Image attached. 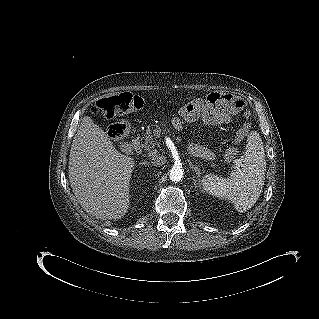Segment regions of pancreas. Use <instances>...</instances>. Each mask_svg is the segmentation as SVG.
Listing matches in <instances>:
<instances>
[{"instance_id": "1", "label": "pancreas", "mask_w": 319, "mask_h": 319, "mask_svg": "<svg viewBox=\"0 0 319 319\" xmlns=\"http://www.w3.org/2000/svg\"><path fill=\"white\" fill-rule=\"evenodd\" d=\"M146 134L147 135L145 136L144 142L141 144V147L146 151H150L154 149L157 142L154 135L149 130H147ZM211 165H214V163H211Z\"/></svg>"}]
</instances>
